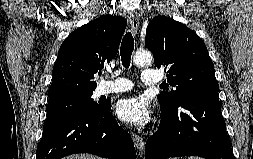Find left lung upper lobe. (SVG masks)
<instances>
[{"mask_svg":"<svg viewBox=\"0 0 253 159\" xmlns=\"http://www.w3.org/2000/svg\"><path fill=\"white\" fill-rule=\"evenodd\" d=\"M146 47L157 68L167 69L175 90L158 95L160 106L172 111L191 100L219 101L214 66L204 42L187 26L166 16L153 18L146 29Z\"/></svg>","mask_w":253,"mask_h":159,"instance_id":"1","label":"left lung upper lobe"}]
</instances>
